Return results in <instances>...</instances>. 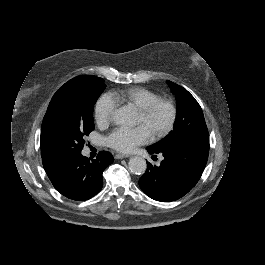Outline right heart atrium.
Here are the masks:
<instances>
[{"label":"right heart atrium","mask_w":265,"mask_h":265,"mask_svg":"<svg viewBox=\"0 0 265 265\" xmlns=\"http://www.w3.org/2000/svg\"><path fill=\"white\" fill-rule=\"evenodd\" d=\"M117 104L109 94H103L96 102L94 107V118L96 123L107 126L114 117Z\"/></svg>","instance_id":"obj_1"}]
</instances>
